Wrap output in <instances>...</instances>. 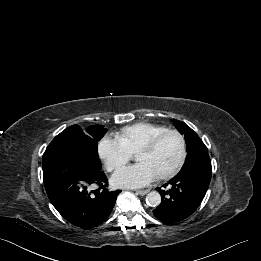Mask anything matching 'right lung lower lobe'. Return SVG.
<instances>
[{
  "label": "right lung lower lobe",
  "mask_w": 261,
  "mask_h": 261,
  "mask_svg": "<svg viewBox=\"0 0 261 261\" xmlns=\"http://www.w3.org/2000/svg\"><path fill=\"white\" fill-rule=\"evenodd\" d=\"M43 178L47 195L61 216L86 229L106 220L121 192L107 190L104 172L88 160L80 140H75L64 164L43 168Z\"/></svg>",
  "instance_id": "98d812e1"
}]
</instances>
